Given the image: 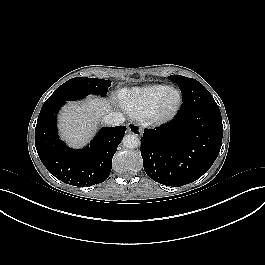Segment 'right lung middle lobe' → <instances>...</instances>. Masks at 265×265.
<instances>
[{"mask_svg":"<svg viewBox=\"0 0 265 265\" xmlns=\"http://www.w3.org/2000/svg\"><path fill=\"white\" fill-rule=\"evenodd\" d=\"M109 86V80L87 77L72 78L58 87L44 104L65 103L66 101L81 99L88 94L104 96Z\"/></svg>","mask_w":265,"mask_h":265,"instance_id":"obj_1","label":"right lung middle lobe"}]
</instances>
